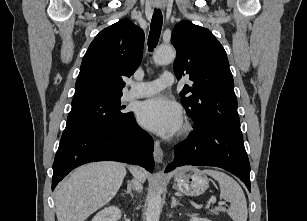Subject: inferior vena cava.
I'll use <instances>...</instances> for the list:
<instances>
[{"label":"inferior vena cava","instance_id":"obj_1","mask_svg":"<svg viewBox=\"0 0 307 221\" xmlns=\"http://www.w3.org/2000/svg\"><path fill=\"white\" fill-rule=\"evenodd\" d=\"M133 187L138 191V192H141L142 191V185H141V182L135 178L133 181Z\"/></svg>","mask_w":307,"mask_h":221}]
</instances>
